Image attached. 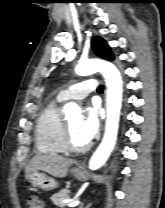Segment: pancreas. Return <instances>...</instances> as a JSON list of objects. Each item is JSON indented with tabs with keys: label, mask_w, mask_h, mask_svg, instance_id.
Segmentation results:
<instances>
[{
	"label": "pancreas",
	"mask_w": 165,
	"mask_h": 208,
	"mask_svg": "<svg viewBox=\"0 0 165 208\" xmlns=\"http://www.w3.org/2000/svg\"><path fill=\"white\" fill-rule=\"evenodd\" d=\"M69 193L68 189H62L58 193L53 194L51 200L56 206L64 208L67 205L64 200L69 198Z\"/></svg>",
	"instance_id": "pancreas-1"
}]
</instances>
